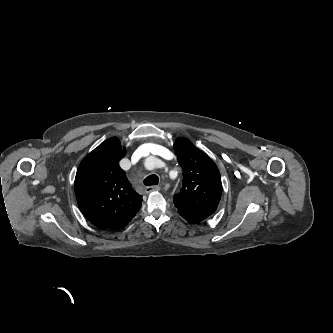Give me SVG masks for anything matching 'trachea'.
Listing matches in <instances>:
<instances>
[{
  "label": "trachea",
  "mask_w": 333,
  "mask_h": 333,
  "mask_svg": "<svg viewBox=\"0 0 333 333\" xmlns=\"http://www.w3.org/2000/svg\"><path fill=\"white\" fill-rule=\"evenodd\" d=\"M158 182H159V178L155 174L149 175L148 177H146L144 179V185H146V186L157 185Z\"/></svg>",
  "instance_id": "obj_1"
}]
</instances>
